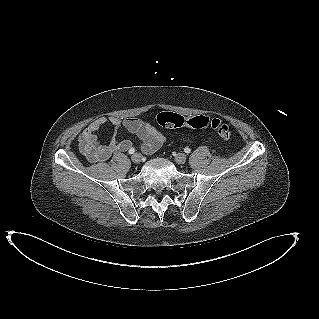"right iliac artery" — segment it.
Listing matches in <instances>:
<instances>
[{
  "mask_svg": "<svg viewBox=\"0 0 319 319\" xmlns=\"http://www.w3.org/2000/svg\"><path fill=\"white\" fill-rule=\"evenodd\" d=\"M134 152H135V149H134V148H131V149L128 151L129 154H133Z\"/></svg>",
  "mask_w": 319,
  "mask_h": 319,
  "instance_id": "1",
  "label": "right iliac artery"
}]
</instances>
